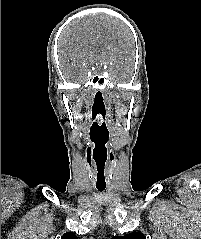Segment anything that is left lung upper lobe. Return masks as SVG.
<instances>
[{
	"instance_id": "1",
	"label": "left lung upper lobe",
	"mask_w": 201,
	"mask_h": 239,
	"mask_svg": "<svg viewBox=\"0 0 201 239\" xmlns=\"http://www.w3.org/2000/svg\"><path fill=\"white\" fill-rule=\"evenodd\" d=\"M112 239H146L141 232H132L124 236H113Z\"/></svg>"
}]
</instances>
